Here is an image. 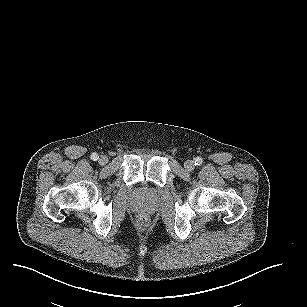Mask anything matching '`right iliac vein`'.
Instances as JSON below:
<instances>
[{
	"instance_id": "1",
	"label": "right iliac vein",
	"mask_w": 307,
	"mask_h": 307,
	"mask_svg": "<svg viewBox=\"0 0 307 307\" xmlns=\"http://www.w3.org/2000/svg\"><path fill=\"white\" fill-rule=\"evenodd\" d=\"M100 166H104L108 163V158L105 155H101L98 161Z\"/></svg>"
}]
</instances>
